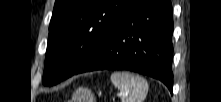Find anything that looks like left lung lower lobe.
I'll use <instances>...</instances> for the list:
<instances>
[{
    "mask_svg": "<svg viewBox=\"0 0 221 102\" xmlns=\"http://www.w3.org/2000/svg\"><path fill=\"white\" fill-rule=\"evenodd\" d=\"M172 34L169 0H130L105 38L73 75L125 69L160 80L172 93Z\"/></svg>",
    "mask_w": 221,
    "mask_h": 102,
    "instance_id": "0a47b994",
    "label": "left lung lower lobe"
}]
</instances>
